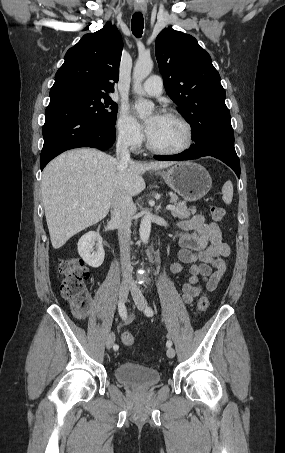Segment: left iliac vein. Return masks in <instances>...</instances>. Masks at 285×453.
Wrapping results in <instances>:
<instances>
[{"label":"left iliac vein","instance_id":"4c4485c4","mask_svg":"<svg viewBox=\"0 0 285 453\" xmlns=\"http://www.w3.org/2000/svg\"><path fill=\"white\" fill-rule=\"evenodd\" d=\"M131 294H132L133 300H134L137 308L140 311H143L145 309V307L147 306V301L137 285L132 286ZM167 356L169 358H174L175 350L172 347H168Z\"/></svg>","mask_w":285,"mask_h":453}]
</instances>
